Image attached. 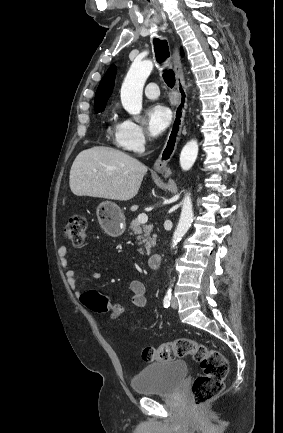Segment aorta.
<instances>
[{
    "instance_id": "1",
    "label": "aorta",
    "mask_w": 283,
    "mask_h": 433,
    "mask_svg": "<svg viewBox=\"0 0 283 433\" xmlns=\"http://www.w3.org/2000/svg\"><path fill=\"white\" fill-rule=\"evenodd\" d=\"M153 69L150 60L135 61L132 63L121 87V102L124 109L131 115H139L142 110V93L144 84ZM197 140H190L183 147L180 154V166L182 170H189L198 155ZM182 210L179 223L174 231L172 247L180 242L191 226L193 219L192 201L189 193L182 200Z\"/></svg>"
}]
</instances>
